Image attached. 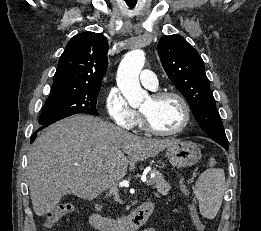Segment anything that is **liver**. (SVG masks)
<instances>
[{
    "label": "liver",
    "instance_id": "liver-1",
    "mask_svg": "<svg viewBox=\"0 0 261 231\" xmlns=\"http://www.w3.org/2000/svg\"><path fill=\"white\" fill-rule=\"evenodd\" d=\"M176 142L142 138L89 115L58 121L37 137L28 154L26 174L33 210L44 216L66 194L94 199L137 162L155 157Z\"/></svg>",
    "mask_w": 261,
    "mask_h": 231
}]
</instances>
